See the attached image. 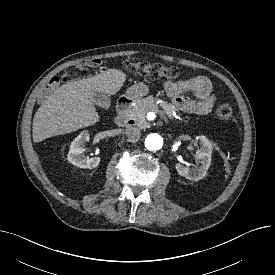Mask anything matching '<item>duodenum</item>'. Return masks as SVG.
Masks as SVG:
<instances>
[{"label": "duodenum", "instance_id": "410a0bca", "mask_svg": "<svg viewBox=\"0 0 275 275\" xmlns=\"http://www.w3.org/2000/svg\"><path fill=\"white\" fill-rule=\"evenodd\" d=\"M132 100L128 97H123L119 100L117 104V114L115 117V123L118 126H126L130 123L129 119V109Z\"/></svg>", "mask_w": 275, "mask_h": 275}]
</instances>
